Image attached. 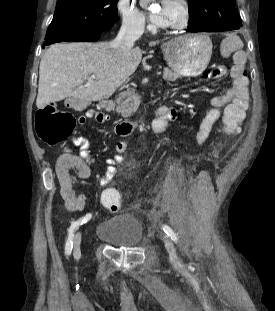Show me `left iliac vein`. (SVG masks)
<instances>
[{
    "instance_id": "1",
    "label": "left iliac vein",
    "mask_w": 275,
    "mask_h": 311,
    "mask_svg": "<svg viewBox=\"0 0 275 311\" xmlns=\"http://www.w3.org/2000/svg\"><path fill=\"white\" fill-rule=\"evenodd\" d=\"M162 239L164 241L165 247L169 253L170 261L177 267L181 266V262L179 261L174 244L168 235L162 234Z\"/></svg>"
}]
</instances>
